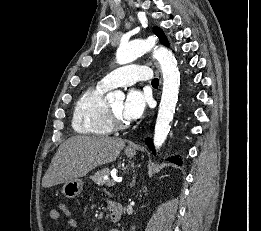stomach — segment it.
Instances as JSON below:
<instances>
[{"mask_svg": "<svg viewBox=\"0 0 261 231\" xmlns=\"http://www.w3.org/2000/svg\"><path fill=\"white\" fill-rule=\"evenodd\" d=\"M125 155L128 158H133L136 155V149L134 148H126ZM83 189V181L79 178H76L72 181L66 182L62 187L63 195L68 198L72 199L78 196Z\"/></svg>", "mask_w": 261, "mask_h": 231, "instance_id": "1", "label": "stomach"}]
</instances>
